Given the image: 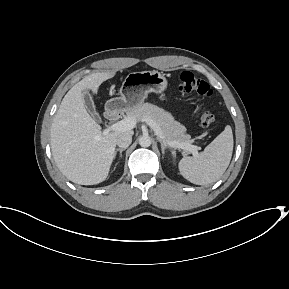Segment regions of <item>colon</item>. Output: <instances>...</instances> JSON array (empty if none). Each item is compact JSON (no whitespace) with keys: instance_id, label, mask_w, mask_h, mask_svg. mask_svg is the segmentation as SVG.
I'll use <instances>...</instances> for the list:
<instances>
[{"instance_id":"1","label":"colon","mask_w":289,"mask_h":289,"mask_svg":"<svg viewBox=\"0 0 289 289\" xmlns=\"http://www.w3.org/2000/svg\"><path fill=\"white\" fill-rule=\"evenodd\" d=\"M179 91L182 94L196 93L204 97H211L213 90L210 85L203 79L197 77L190 71H184L180 75ZM215 122V117L210 111L203 113L201 117V125L204 128L212 126Z\"/></svg>"}]
</instances>
